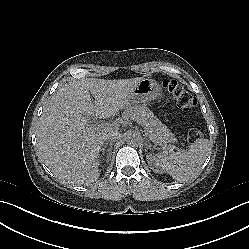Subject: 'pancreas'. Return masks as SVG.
Returning <instances> with one entry per match:
<instances>
[{
	"label": "pancreas",
	"mask_w": 249,
	"mask_h": 249,
	"mask_svg": "<svg viewBox=\"0 0 249 249\" xmlns=\"http://www.w3.org/2000/svg\"><path fill=\"white\" fill-rule=\"evenodd\" d=\"M124 118L136 120L147 131L149 138L158 143L174 142L175 136L153 114L147 105H134L126 109Z\"/></svg>",
	"instance_id": "cf45deb5"
}]
</instances>
